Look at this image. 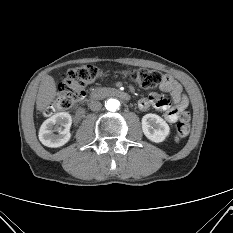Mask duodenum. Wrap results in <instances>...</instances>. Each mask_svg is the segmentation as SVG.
I'll list each match as a JSON object with an SVG mask.
<instances>
[{
    "mask_svg": "<svg viewBox=\"0 0 233 233\" xmlns=\"http://www.w3.org/2000/svg\"><path fill=\"white\" fill-rule=\"evenodd\" d=\"M118 97L123 100H130V95L120 89H97L89 94L90 100H96L104 97Z\"/></svg>",
    "mask_w": 233,
    "mask_h": 233,
    "instance_id": "410a0bca",
    "label": "duodenum"
}]
</instances>
